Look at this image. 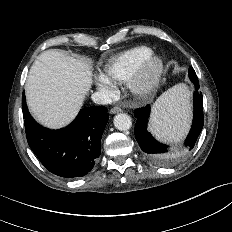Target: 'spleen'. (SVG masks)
Returning <instances> with one entry per match:
<instances>
[{
	"instance_id": "obj_1",
	"label": "spleen",
	"mask_w": 232,
	"mask_h": 232,
	"mask_svg": "<svg viewBox=\"0 0 232 232\" xmlns=\"http://www.w3.org/2000/svg\"><path fill=\"white\" fill-rule=\"evenodd\" d=\"M190 92L185 84H178L155 103L151 131L160 139L180 141L189 126Z\"/></svg>"
}]
</instances>
